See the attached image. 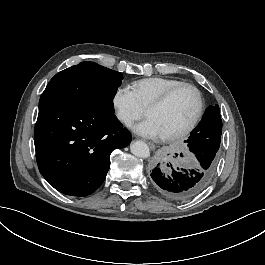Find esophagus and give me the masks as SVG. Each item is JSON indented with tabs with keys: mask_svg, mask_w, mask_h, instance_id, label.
Masks as SVG:
<instances>
[{
	"mask_svg": "<svg viewBox=\"0 0 265 265\" xmlns=\"http://www.w3.org/2000/svg\"><path fill=\"white\" fill-rule=\"evenodd\" d=\"M146 143H147V145L150 147V149L152 151H154L156 149V145L154 143H151V142H148V141H146Z\"/></svg>",
	"mask_w": 265,
	"mask_h": 265,
	"instance_id": "1",
	"label": "esophagus"
}]
</instances>
